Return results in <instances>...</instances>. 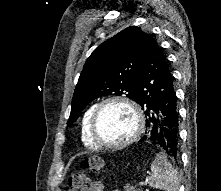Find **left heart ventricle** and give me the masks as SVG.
I'll return each mask as SVG.
<instances>
[{"mask_svg": "<svg viewBox=\"0 0 221 191\" xmlns=\"http://www.w3.org/2000/svg\"><path fill=\"white\" fill-rule=\"evenodd\" d=\"M98 134L108 143H119L127 139L134 131L135 117L125 105L112 103L105 106L98 119Z\"/></svg>", "mask_w": 221, "mask_h": 191, "instance_id": "obj_1", "label": "left heart ventricle"}]
</instances>
